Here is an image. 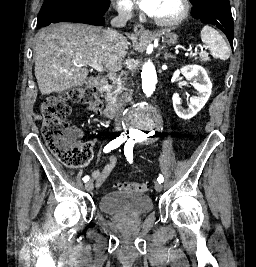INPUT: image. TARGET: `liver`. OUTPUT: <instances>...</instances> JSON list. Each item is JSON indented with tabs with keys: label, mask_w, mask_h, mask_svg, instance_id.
<instances>
[{
	"label": "liver",
	"mask_w": 256,
	"mask_h": 267,
	"mask_svg": "<svg viewBox=\"0 0 256 267\" xmlns=\"http://www.w3.org/2000/svg\"><path fill=\"white\" fill-rule=\"evenodd\" d=\"M135 42L134 36H129ZM125 40H114L106 30L88 24H52L40 30L36 40L35 78L43 94L64 92L83 86L87 66L98 62L110 72L121 70L128 50Z\"/></svg>",
	"instance_id": "1"
}]
</instances>
